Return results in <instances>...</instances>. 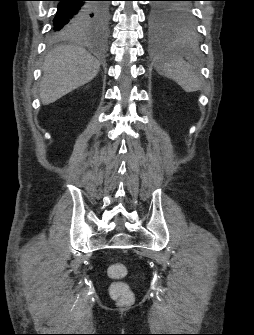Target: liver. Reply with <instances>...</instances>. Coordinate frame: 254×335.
Masks as SVG:
<instances>
[{
  "label": "liver",
  "instance_id": "obj_1",
  "mask_svg": "<svg viewBox=\"0 0 254 335\" xmlns=\"http://www.w3.org/2000/svg\"><path fill=\"white\" fill-rule=\"evenodd\" d=\"M100 62L84 48L62 45L53 49L43 64L40 99L48 105L90 82L98 73Z\"/></svg>",
  "mask_w": 254,
  "mask_h": 335
}]
</instances>
